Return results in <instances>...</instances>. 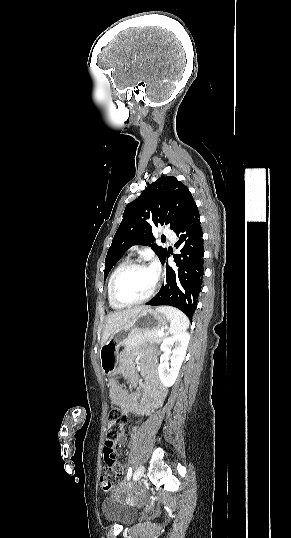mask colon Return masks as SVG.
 Instances as JSON below:
<instances>
[{"instance_id":"colon-1","label":"colon","mask_w":291,"mask_h":538,"mask_svg":"<svg viewBox=\"0 0 291 538\" xmlns=\"http://www.w3.org/2000/svg\"><path fill=\"white\" fill-rule=\"evenodd\" d=\"M125 424V413L118 406L112 405L108 414V430L104 447V460L107 466L100 474V485L105 492L113 491L121 473V467L117 463L115 441L122 434Z\"/></svg>"}]
</instances>
